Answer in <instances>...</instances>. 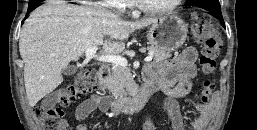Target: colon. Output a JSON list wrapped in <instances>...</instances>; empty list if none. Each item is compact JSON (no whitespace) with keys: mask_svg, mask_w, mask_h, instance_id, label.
<instances>
[{"mask_svg":"<svg viewBox=\"0 0 257 130\" xmlns=\"http://www.w3.org/2000/svg\"><path fill=\"white\" fill-rule=\"evenodd\" d=\"M196 38L202 40L203 47L199 59L201 70L206 75H213L216 70L217 57L222 48V40L212 24L203 18H197L193 24ZM99 77L92 68L81 70L73 83L59 91L57 104L50 106H37L34 110L36 120L43 130H69L63 118V107L70 105L83 94L95 92L99 88ZM215 89V80L207 79L203 82L201 99L207 104Z\"/></svg>","mask_w":257,"mask_h":130,"instance_id":"5ec220e1","label":"colon"}]
</instances>
